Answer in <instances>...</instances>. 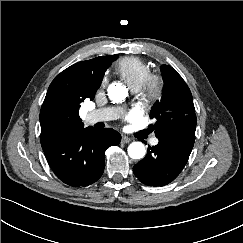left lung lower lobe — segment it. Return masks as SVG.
<instances>
[{"mask_svg":"<svg viewBox=\"0 0 243 243\" xmlns=\"http://www.w3.org/2000/svg\"><path fill=\"white\" fill-rule=\"evenodd\" d=\"M189 151L169 142L160 141L149 147L147 155L133 167L135 176L149 186H164L183 170Z\"/></svg>","mask_w":243,"mask_h":243,"instance_id":"obj_1","label":"left lung lower lobe"}]
</instances>
